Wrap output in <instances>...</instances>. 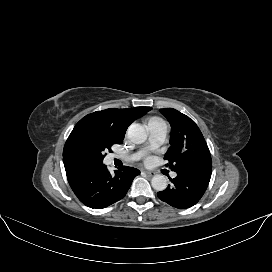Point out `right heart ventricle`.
<instances>
[{
    "instance_id": "1",
    "label": "right heart ventricle",
    "mask_w": 272,
    "mask_h": 272,
    "mask_svg": "<svg viewBox=\"0 0 272 272\" xmlns=\"http://www.w3.org/2000/svg\"><path fill=\"white\" fill-rule=\"evenodd\" d=\"M161 119H159V118H152L150 121H149V123L150 122H154V121H160Z\"/></svg>"
}]
</instances>
